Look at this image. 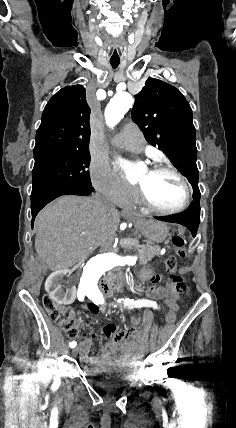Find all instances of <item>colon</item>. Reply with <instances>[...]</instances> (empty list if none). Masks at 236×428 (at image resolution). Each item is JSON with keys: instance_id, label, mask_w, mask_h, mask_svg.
Listing matches in <instances>:
<instances>
[{"instance_id": "obj_1", "label": "colon", "mask_w": 236, "mask_h": 428, "mask_svg": "<svg viewBox=\"0 0 236 428\" xmlns=\"http://www.w3.org/2000/svg\"><path fill=\"white\" fill-rule=\"evenodd\" d=\"M173 250L180 256H184V240L181 236L173 237L171 241ZM165 268L169 274L167 279V288L175 296L183 294L186 290V284L184 279L177 275V260L174 256H169L165 260ZM43 305L50 317V319L57 325L62 327L66 335L69 338H77L79 336V330L77 325V319L74 311L68 307L57 304L51 297L45 296L43 298ZM86 309L89 312L97 313L98 307L92 303L86 304ZM165 318L167 322L172 323L176 319V306L168 308ZM139 324L138 318L131 319L132 327H136Z\"/></svg>"}]
</instances>
